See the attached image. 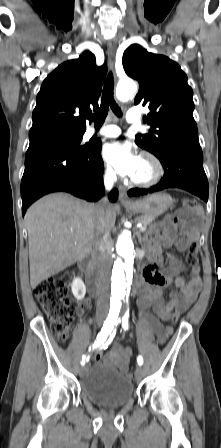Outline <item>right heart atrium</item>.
I'll list each match as a JSON object with an SVG mask.
<instances>
[{
  "mask_svg": "<svg viewBox=\"0 0 221 448\" xmlns=\"http://www.w3.org/2000/svg\"><path fill=\"white\" fill-rule=\"evenodd\" d=\"M103 179L106 183L109 184H113L116 181V173L111 166H105L103 171Z\"/></svg>",
  "mask_w": 221,
  "mask_h": 448,
  "instance_id": "d8ad5b80",
  "label": "right heart atrium"
}]
</instances>
